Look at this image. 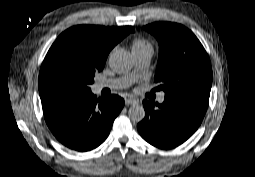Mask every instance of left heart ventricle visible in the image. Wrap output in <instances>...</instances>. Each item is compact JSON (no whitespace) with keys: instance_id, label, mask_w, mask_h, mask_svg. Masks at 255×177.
I'll use <instances>...</instances> for the list:
<instances>
[{"instance_id":"b2bd125f","label":"left heart ventricle","mask_w":255,"mask_h":177,"mask_svg":"<svg viewBox=\"0 0 255 177\" xmlns=\"http://www.w3.org/2000/svg\"><path fill=\"white\" fill-rule=\"evenodd\" d=\"M138 76H139L138 71L135 70V69H132L131 72H130V76H129L130 79L131 80H136L138 78Z\"/></svg>"}]
</instances>
